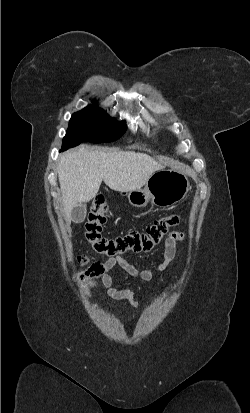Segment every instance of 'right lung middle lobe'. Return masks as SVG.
<instances>
[{"instance_id":"right-lung-middle-lobe-1","label":"right lung middle lobe","mask_w":250,"mask_h":413,"mask_svg":"<svg viewBox=\"0 0 250 413\" xmlns=\"http://www.w3.org/2000/svg\"><path fill=\"white\" fill-rule=\"evenodd\" d=\"M125 131V121L116 122L97 106H88L72 115L61 151L81 142H111L119 139Z\"/></svg>"}]
</instances>
